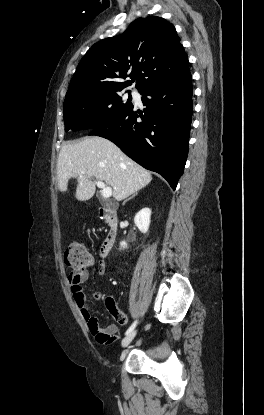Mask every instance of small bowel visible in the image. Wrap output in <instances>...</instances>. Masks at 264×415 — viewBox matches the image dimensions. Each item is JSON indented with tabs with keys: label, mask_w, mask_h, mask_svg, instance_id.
Segmentation results:
<instances>
[{
	"label": "small bowel",
	"mask_w": 264,
	"mask_h": 415,
	"mask_svg": "<svg viewBox=\"0 0 264 415\" xmlns=\"http://www.w3.org/2000/svg\"><path fill=\"white\" fill-rule=\"evenodd\" d=\"M106 264L104 261H100L97 268V274L102 276L105 274ZM89 276L87 268H79L75 270L69 278L70 291L79 307L82 308V314L88 323V328L96 341L102 346H109L115 342L117 337L118 328L114 324L107 326H100L95 316L89 315L84 308V293L81 284L87 280ZM113 305L111 300L107 301V308L110 309ZM129 319L127 316H123L121 324L126 325Z\"/></svg>",
	"instance_id": "obj_1"
}]
</instances>
